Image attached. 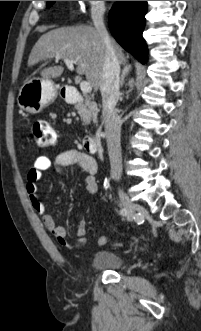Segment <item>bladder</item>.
I'll return each instance as SVG.
<instances>
[{"label": "bladder", "instance_id": "1", "mask_svg": "<svg viewBox=\"0 0 201 331\" xmlns=\"http://www.w3.org/2000/svg\"><path fill=\"white\" fill-rule=\"evenodd\" d=\"M126 263L122 253L102 250L96 252L89 261V267L94 270H121Z\"/></svg>", "mask_w": 201, "mask_h": 331}]
</instances>
